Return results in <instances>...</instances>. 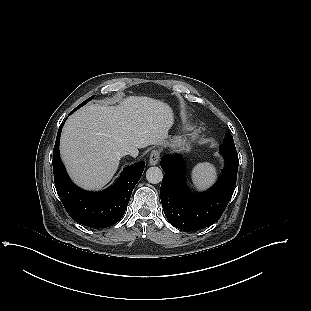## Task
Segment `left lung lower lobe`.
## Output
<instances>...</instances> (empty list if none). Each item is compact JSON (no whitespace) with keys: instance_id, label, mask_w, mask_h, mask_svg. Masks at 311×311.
<instances>
[{"instance_id":"1","label":"left lung lower lobe","mask_w":311,"mask_h":311,"mask_svg":"<svg viewBox=\"0 0 311 311\" xmlns=\"http://www.w3.org/2000/svg\"><path fill=\"white\" fill-rule=\"evenodd\" d=\"M225 167L216 184L199 195L188 192L185 164L181 155L167 154L160 165L165 171L160 197L164 213L171 225L184 231H194L215 223L224 212L236 186L238 154L220 149Z\"/></svg>"}]
</instances>
